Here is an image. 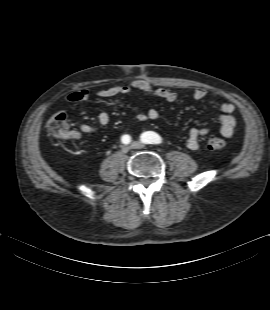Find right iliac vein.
Listing matches in <instances>:
<instances>
[{
  "mask_svg": "<svg viewBox=\"0 0 270 310\" xmlns=\"http://www.w3.org/2000/svg\"><path fill=\"white\" fill-rule=\"evenodd\" d=\"M121 150H122L123 153H127V152H129L130 147H129L128 145H123V146L121 147Z\"/></svg>",
  "mask_w": 270,
  "mask_h": 310,
  "instance_id": "63e3f726",
  "label": "right iliac vein"
}]
</instances>
